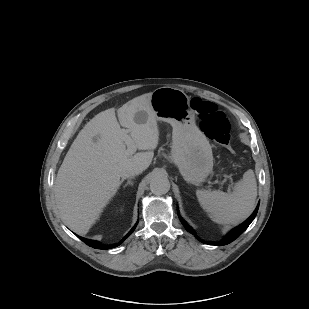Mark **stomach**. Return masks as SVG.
<instances>
[{
  "label": "stomach",
  "mask_w": 309,
  "mask_h": 309,
  "mask_svg": "<svg viewBox=\"0 0 309 309\" xmlns=\"http://www.w3.org/2000/svg\"><path fill=\"white\" fill-rule=\"evenodd\" d=\"M150 103L157 120L173 127L171 161L188 183L200 184L212 170L213 156L209 141L195 124L189 97L180 89L160 87L152 92Z\"/></svg>",
  "instance_id": "0dacf381"
}]
</instances>
